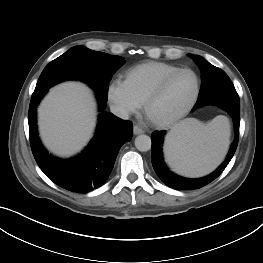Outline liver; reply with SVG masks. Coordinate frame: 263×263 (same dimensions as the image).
<instances>
[{
    "label": "liver",
    "instance_id": "1",
    "mask_svg": "<svg viewBox=\"0 0 263 263\" xmlns=\"http://www.w3.org/2000/svg\"><path fill=\"white\" fill-rule=\"evenodd\" d=\"M96 124V102L89 87L64 82L50 90L38 108L44 145L54 154L69 157L91 138Z\"/></svg>",
    "mask_w": 263,
    "mask_h": 263
}]
</instances>
